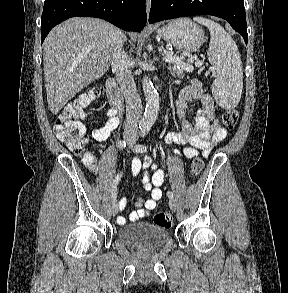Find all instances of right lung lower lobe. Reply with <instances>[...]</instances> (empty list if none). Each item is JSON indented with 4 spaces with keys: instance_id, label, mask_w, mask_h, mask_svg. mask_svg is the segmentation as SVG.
<instances>
[{
    "instance_id": "98d812e1",
    "label": "right lung lower lobe",
    "mask_w": 288,
    "mask_h": 293,
    "mask_svg": "<svg viewBox=\"0 0 288 293\" xmlns=\"http://www.w3.org/2000/svg\"><path fill=\"white\" fill-rule=\"evenodd\" d=\"M74 16L97 17L125 31L138 32L147 21L145 0H45L41 43L55 25Z\"/></svg>"
}]
</instances>
